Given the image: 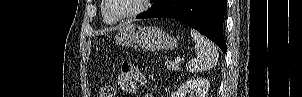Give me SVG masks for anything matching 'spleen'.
<instances>
[{"label":"spleen","instance_id":"spleen-1","mask_svg":"<svg viewBox=\"0 0 302 97\" xmlns=\"http://www.w3.org/2000/svg\"><path fill=\"white\" fill-rule=\"evenodd\" d=\"M191 36L195 42L196 58L188 61L186 69L190 73H199L211 69L218 62L217 47L198 31L191 29Z\"/></svg>","mask_w":302,"mask_h":97}]
</instances>
